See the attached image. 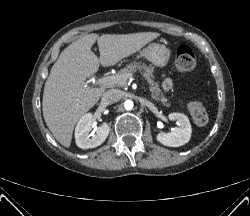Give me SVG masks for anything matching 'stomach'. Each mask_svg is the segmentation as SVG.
Returning <instances> with one entry per match:
<instances>
[{
  "label": "stomach",
  "mask_w": 250,
  "mask_h": 216,
  "mask_svg": "<svg viewBox=\"0 0 250 216\" xmlns=\"http://www.w3.org/2000/svg\"><path fill=\"white\" fill-rule=\"evenodd\" d=\"M140 56L146 58L159 68H164L168 65L170 59V50L160 44H149L140 52Z\"/></svg>",
  "instance_id": "stomach-1"
}]
</instances>
